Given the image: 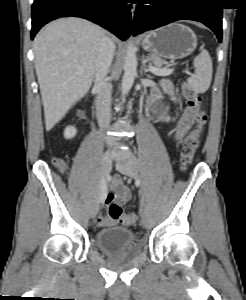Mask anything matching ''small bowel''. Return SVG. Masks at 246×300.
<instances>
[{"label": "small bowel", "instance_id": "obj_1", "mask_svg": "<svg viewBox=\"0 0 246 300\" xmlns=\"http://www.w3.org/2000/svg\"><path fill=\"white\" fill-rule=\"evenodd\" d=\"M164 89L171 93V85L169 82L165 81L163 83ZM153 100H158V95H153ZM195 113V109L193 107L187 108L183 114V117L179 121L178 128L174 131V140L179 143L185 134L186 130L190 127L192 121H193V115ZM157 118L161 122H170L174 120V117L170 116L167 112L162 111L158 113ZM130 197V193L127 187H125L121 180L119 178H115L112 182V192L107 193L103 203H105L106 200L109 202H116L119 205L124 204ZM97 224L99 226H110L115 224V220L110 218L107 215L104 214H98L96 218Z\"/></svg>", "mask_w": 246, "mask_h": 300}]
</instances>
